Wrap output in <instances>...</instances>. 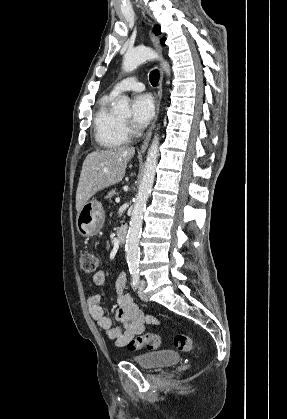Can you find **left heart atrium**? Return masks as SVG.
<instances>
[{
    "label": "left heart atrium",
    "instance_id": "39dd6f15",
    "mask_svg": "<svg viewBox=\"0 0 287 419\" xmlns=\"http://www.w3.org/2000/svg\"><path fill=\"white\" fill-rule=\"evenodd\" d=\"M155 105L150 94H139L132 101V124L136 128L145 127L154 115Z\"/></svg>",
    "mask_w": 287,
    "mask_h": 419
}]
</instances>
